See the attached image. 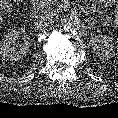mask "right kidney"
<instances>
[{
  "instance_id": "obj_1",
  "label": "right kidney",
  "mask_w": 118,
  "mask_h": 118,
  "mask_svg": "<svg viewBox=\"0 0 118 118\" xmlns=\"http://www.w3.org/2000/svg\"><path fill=\"white\" fill-rule=\"evenodd\" d=\"M23 29L12 30L0 41V55L6 60H20L25 57L31 46V40L24 33ZM24 35V43L20 48H15L13 45L16 43L20 35Z\"/></svg>"
}]
</instances>
